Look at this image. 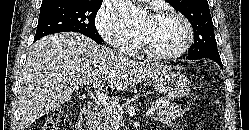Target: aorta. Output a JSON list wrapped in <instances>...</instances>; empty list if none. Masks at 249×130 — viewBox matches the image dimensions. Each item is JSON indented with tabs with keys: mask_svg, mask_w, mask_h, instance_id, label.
<instances>
[{
	"mask_svg": "<svg viewBox=\"0 0 249 130\" xmlns=\"http://www.w3.org/2000/svg\"><path fill=\"white\" fill-rule=\"evenodd\" d=\"M112 2L126 22H135L142 15V10L136 8L130 0H112Z\"/></svg>",
	"mask_w": 249,
	"mask_h": 130,
	"instance_id": "obj_1",
	"label": "aorta"
}]
</instances>
